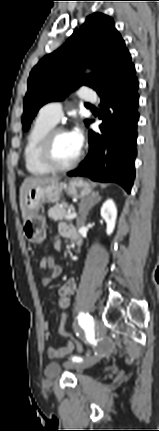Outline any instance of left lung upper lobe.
I'll return each mask as SVG.
<instances>
[{
    "mask_svg": "<svg viewBox=\"0 0 159 431\" xmlns=\"http://www.w3.org/2000/svg\"><path fill=\"white\" fill-rule=\"evenodd\" d=\"M131 63L113 20L101 13L90 15L62 47L43 57L32 69L24 98L23 129H29L44 104L63 100L81 85L99 93ZM87 66L94 69L92 74H78ZM85 123L88 125L90 121Z\"/></svg>",
    "mask_w": 159,
    "mask_h": 431,
    "instance_id": "5c2ea615",
    "label": "left lung upper lobe"
}]
</instances>
